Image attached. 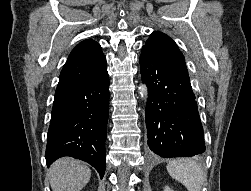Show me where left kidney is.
Returning <instances> with one entry per match:
<instances>
[{
  "label": "left kidney",
  "mask_w": 251,
  "mask_h": 191,
  "mask_svg": "<svg viewBox=\"0 0 251 191\" xmlns=\"http://www.w3.org/2000/svg\"><path fill=\"white\" fill-rule=\"evenodd\" d=\"M164 191H174V189H171V187H168V185H166Z\"/></svg>",
  "instance_id": "obj_1"
}]
</instances>
